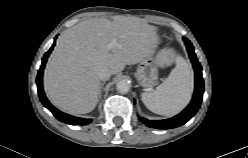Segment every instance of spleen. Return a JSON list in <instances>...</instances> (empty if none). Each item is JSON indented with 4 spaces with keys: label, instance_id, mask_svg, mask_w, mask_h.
<instances>
[{
    "label": "spleen",
    "instance_id": "obj_1",
    "mask_svg": "<svg viewBox=\"0 0 248 158\" xmlns=\"http://www.w3.org/2000/svg\"><path fill=\"white\" fill-rule=\"evenodd\" d=\"M176 66L156 90L141 94L144 105L152 112L173 116L189 103L193 91V73L186 60L177 56Z\"/></svg>",
    "mask_w": 248,
    "mask_h": 158
}]
</instances>
